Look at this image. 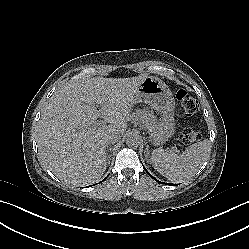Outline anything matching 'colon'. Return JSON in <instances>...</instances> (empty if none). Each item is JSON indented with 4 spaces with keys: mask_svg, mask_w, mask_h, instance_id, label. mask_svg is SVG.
Segmentation results:
<instances>
[{
    "mask_svg": "<svg viewBox=\"0 0 249 249\" xmlns=\"http://www.w3.org/2000/svg\"><path fill=\"white\" fill-rule=\"evenodd\" d=\"M176 99L180 105V108L184 115L193 116L199 110V104L197 100L189 94L185 89H178L176 92ZM199 133L193 129H186L184 132V138L187 142H194L198 139Z\"/></svg>",
    "mask_w": 249,
    "mask_h": 249,
    "instance_id": "1",
    "label": "colon"
}]
</instances>
